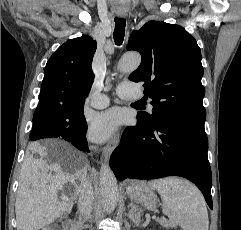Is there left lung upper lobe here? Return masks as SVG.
Returning a JSON list of instances; mask_svg holds the SVG:
<instances>
[{
	"label": "left lung upper lobe",
	"mask_w": 241,
	"mask_h": 230,
	"mask_svg": "<svg viewBox=\"0 0 241 230\" xmlns=\"http://www.w3.org/2000/svg\"><path fill=\"white\" fill-rule=\"evenodd\" d=\"M127 49L142 56L129 79L142 83L153 105L151 115L139 112L137 119L149 126L164 116L205 122L201 51L193 36L179 25L149 21L131 34Z\"/></svg>",
	"instance_id": "5c2ea615"
}]
</instances>
